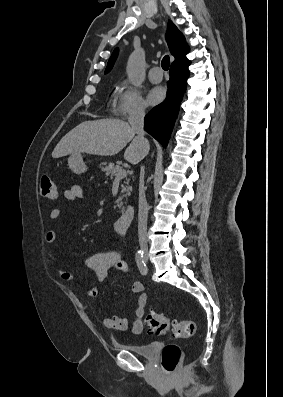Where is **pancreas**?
Listing matches in <instances>:
<instances>
[{"label":"pancreas","mask_w":283,"mask_h":397,"mask_svg":"<svg viewBox=\"0 0 283 397\" xmlns=\"http://www.w3.org/2000/svg\"><path fill=\"white\" fill-rule=\"evenodd\" d=\"M100 168H101V171L105 174V176L110 177L111 179H113L116 176L118 170L121 169L119 166L114 165L113 163H109L108 165H107V163H102ZM127 184H128V181H127ZM130 192H131L130 187H124V186L122 187L123 195L119 196V198L117 199L118 207H122L123 203L121 201H122L123 197L129 196Z\"/></svg>","instance_id":"obj_1"}]
</instances>
